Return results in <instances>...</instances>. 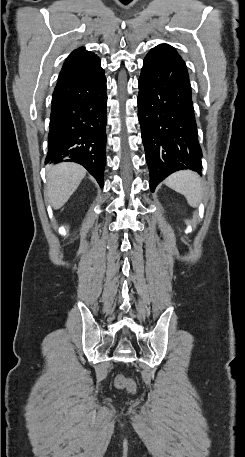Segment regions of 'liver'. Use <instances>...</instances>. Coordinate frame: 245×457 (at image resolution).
<instances>
[{"label":"liver","instance_id":"liver-1","mask_svg":"<svg viewBox=\"0 0 245 457\" xmlns=\"http://www.w3.org/2000/svg\"><path fill=\"white\" fill-rule=\"evenodd\" d=\"M86 174V168L76 162H60L52 166L47 174L45 196L53 208H61L79 186Z\"/></svg>","mask_w":245,"mask_h":457}]
</instances>
